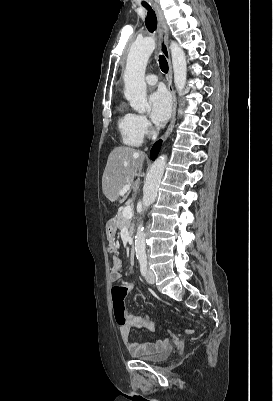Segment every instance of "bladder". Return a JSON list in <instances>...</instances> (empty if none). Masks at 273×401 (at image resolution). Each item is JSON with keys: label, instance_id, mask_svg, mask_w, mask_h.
I'll return each mask as SVG.
<instances>
[{"label": "bladder", "instance_id": "obj_1", "mask_svg": "<svg viewBox=\"0 0 273 401\" xmlns=\"http://www.w3.org/2000/svg\"><path fill=\"white\" fill-rule=\"evenodd\" d=\"M173 353L172 347H166L157 354L150 356L143 355H133V357L137 360H141L150 364H159L166 361Z\"/></svg>", "mask_w": 273, "mask_h": 401}]
</instances>
